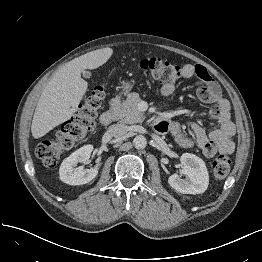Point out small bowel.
Returning <instances> with one entry per match:
<instances>
[{"label":"small bowel","mask_w":262,"mask_h":262,"mask_svg":"<svg viewBox=\"0 0 262 262\" xmlns=\"http://www.w3.org/2000/svg\"><path fill=\"white\" fill-rule=\"evenodd\" d=\"M182 73L184 78H190L195 75L202 81L198 97L206 103L214 104V108L210 111L209 116L217 121L219 126L207 131L199 124L192 122L190 128L193 136L186 137L182 133L180 123L171 120L170 114L163 113L156 120V130L163 134H170L183 147H197L201 149L207 158H212L219 152H232L234 148V125L230 119V104L222 95L220 87L210 76L207 69L201 65L185 64L182 66ZM174 90V84H167L162 86L161 94L169 96Z\"/></svg>","instance_id":"1"}]
</instances>
